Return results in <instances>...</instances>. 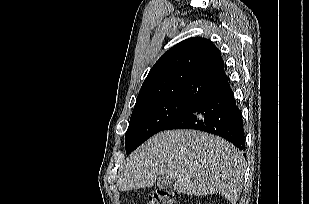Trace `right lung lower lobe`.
Returning <instances> with one entry per match:
<instances>
[{
  "label": "right lung lower lobe",
  "mask_w": 309,
  "mask_h": 204,
  "mask_svg": "<svg viewBox=\"0 0 309 204\" xmlns=\"http://www.w3.org/2000/svg\"><path fill=\"white\" fill-rule=\"evenodd\" d=\"M169 129L205 131L228 140L243 153L245 151L242 113L236 106L233 91L229 86L197 102L163 130Z\"/></svg>",
  "instance_id": "1"
}]
</instances>
